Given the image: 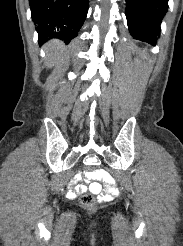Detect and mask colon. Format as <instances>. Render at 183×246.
Returning a JSON list of instances; mask_svg holds the SVG:
<instances>
[{
	"mask_svg": "<svg viewBox=\"0 0 183 246\" xmlns=\"http://www.w3.org/2000/svg\"><path fill=\"white\" fill-rule=\"evenodd\" d=\"M95 167H84V172H91ZM81 204L86 209H93L96 205V199L92 194L86 193L81 197Z\"/></svg>",
	"mask_w": 183,
	"mask_h": 246,
	"instance_id": "colon-1",
	"label": "colon"
}]
</instances>
